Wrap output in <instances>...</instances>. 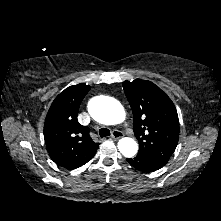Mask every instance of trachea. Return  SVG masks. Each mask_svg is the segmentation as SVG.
Wrapping results in <instances>:
<instances>
[{
  "instance_id": "trachea-1",
  "label": "trachea",
  "mask_w": 221,
  "mask_h": 221,
  "mask_svg": "<svg viewBox=\"0 0 221 221\" xmlns=\"http://www.w3.org/2000/svg\"><path fill=\"white\" fill-rule=\"evenodd\" d=\"M99 135H100V137H107L110 135V131L107 128H101L99 130Z\"/></svg>"
}]
</instances>
